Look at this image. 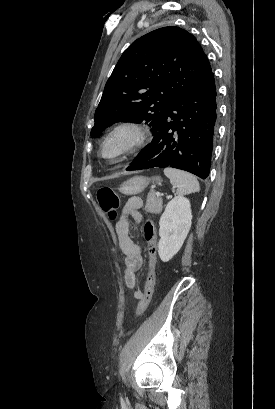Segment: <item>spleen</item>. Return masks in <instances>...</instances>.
I'll list each match as a JSON object with an SVG mask.
<instances>
[{"mask_svg": "<svg viewBox=\"0 0 275 409\" xmlns=\"http://www.w3.org/2000/svg\"><path fill=\"white\" fill-rule=\"evenodd\" d=\"M164 174L170 178L171 184L177 186V194H180V196L200 190L196 176L190 174V172L178 170V168H164Z\"/></svg>", "mask_w": 275, "mask_h": 409, "instance_id": "obj_1", "label": "spleen"}]
</instances>
